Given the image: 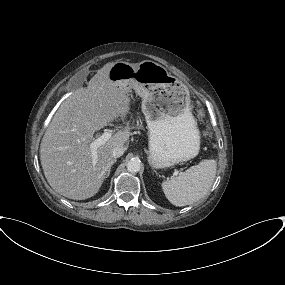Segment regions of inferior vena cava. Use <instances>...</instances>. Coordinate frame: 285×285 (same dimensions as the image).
<instances>
[{
	"label": "inferior vena cava",
	"mask_w": 285,
	"mask_h": 285,
	"mask_svg": "<svg viewBox=\"0 0 285 285\" xmlns=\"http://www.w3.org/2000/svg\"><path fill=\"white\" fill-rule=\"evenodd\" d=\"M125 149L123 147L117 146L112 151L113 158H119L124 154Z\"/></svg>",
	"instance_id": "602c4592"
}]
</instances>
